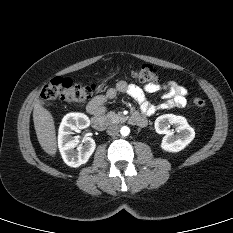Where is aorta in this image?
<instances>
[{"mask_svg": "<svg viewBox=\"0 0 233 233\" xmlns=\"http://www.w3.org/2000/svg\"><path fill=\"white\" fill-rule=\"evenodd\" d=\"M120 133H121L122 136H128L129 133H130L129 127H127V126L121 127Z\"/></svg>", "mask_w": 233, "mask_h": 233, "instance_id": "aorta-1", "label": "aorta"}]
</instances>
